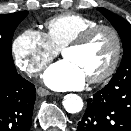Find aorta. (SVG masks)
<instances>
[{
    "label": "aorta",
    "instance_id": "obj_1",
    "mask_svg": "<svg viewBox=\"0 0 131 131\" xmlns=\"http://www.w3.org/2000/svg\"><path fill=\"white\" fill-rule=\"evenodd\" d=\"M63 107L68 113H78L83 108V100L76 94H68L63 99Z\"/></svg>",
    "mask_w": 131,
    "mask_h": 131
}]
</instances>
